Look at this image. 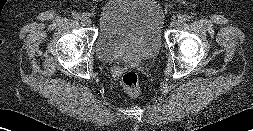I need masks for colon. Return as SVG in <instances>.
Listing matches in <instances>:
<instances>
[{"mask_svg":"<svg viewBox=\"0 0 253 131\" xmlns=\"http://www.w3.org/2000/svg\"><path fill=\"white\" fill-rule=\"evenodd\" d=\"M124 90L131 96H137L140 92L139 77L134 71H126L122 76Z\"/></svg>","mask_w":253,"mask_h":131,"instance_id":"colon-1","label":"colon"}]
</instances>
